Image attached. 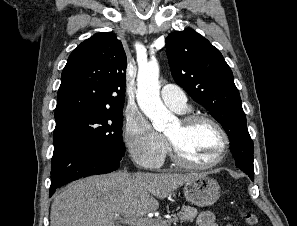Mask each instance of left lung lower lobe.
Returning a JSON list of instances; mask_svg holds the SVG:
<instances>
[{
    "instance_id": "obj_1",
    "label": "left lung lower lobe",
    "mask_w": 297,
    "mask_h": 226,
    "mask_svg": "<svg viewBox=\"0 0 297 226\" xmlns=\"http://www.w3.org/2000/svg\"><path fill=\"white\" fill-rule=\"evenodd\" d=\"M243 172H245L249 177L250 179L253 181L254 180V170L251 169V170H242Z\"/></svg>"
}]
</instances>
